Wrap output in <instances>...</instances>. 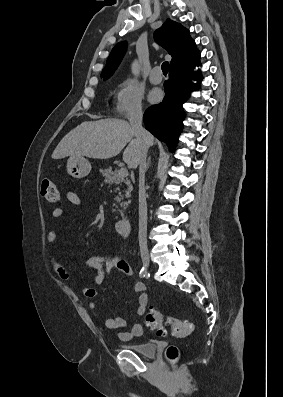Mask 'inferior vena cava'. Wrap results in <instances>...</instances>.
<instances>
[{"label":"inferior vena cava","mask_w":283,"mask_h":397,"mask_svg":"<svg viewBox=\"0 0 283 397\" xmlns=\"http://www.w3.org/2000/svg\"><path fill=\"white\" fill-rule=\"evenodd\" d=\"M142 107L137 106L129 116V122L137 138L143 143L139 159V245L147 249V202L145 195L144 179L147 168L146 157L149 148V133L142 126Z\"/></svg>","instance_id":"obj_1"}]
</instances>
